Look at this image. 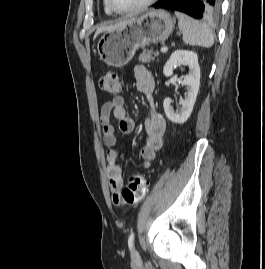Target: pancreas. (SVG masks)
I'll use <instances>...</instances> for the list:
<instances>
[{"label":"pancreas","instance_id":"obj_1","mask_svg":"<svg viewBox=\"0 0 265 269\" xmlns=\"http://www.w3.org/2000/svg\"><path fill=\"white\" fill-rule=\"evenodd\" d=\"M158 55H159L158 51H154L153 49L146 50L142 54L139 55V61L142 63H147L153 60L154 57Z\"/></svg>","mask_w":265,"mask_h":269}]
</instances>
